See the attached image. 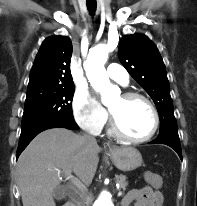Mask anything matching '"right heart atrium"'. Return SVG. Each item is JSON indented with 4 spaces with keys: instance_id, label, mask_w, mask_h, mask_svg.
<instances>
[{
    "instance_id": "d8ad5b80",
    "label": "right heart atrium",
    "mask_w": 197,
    "mask_h": 206,
    "mask_svg": "<svg viewBox=\"0 0 197 206\" xmlns=\"http://www.w3.org/2000/svg\"><path fill=\"white\" fill-rule=\"evenodd\" d=\"M73 115L80 127L98 134L107 122V112L86 89L75 92L72 100Z\"/></svg>"
}]
</instances>
